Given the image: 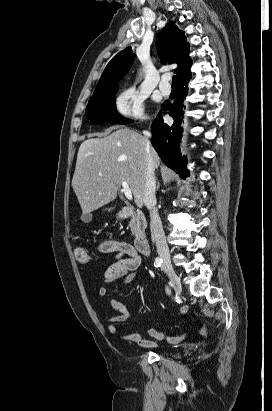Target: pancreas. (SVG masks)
<instances>
[{"instance_id":"pancreas-1","label":"pancreas","mask_w":272,"mask_h":411,"mask_svg":"<svg viewBox=\"0 0 272 411\" xmlns=\"http://www.w3.org/2000/svg\"><path fill=\"white\" fill-rule=\"evenodd\" d=\"M129 227L131 228L133 235H138L144 232L145 228L147 227L146 219L144 215L140 212L136 213L132 216Z\"/></svg>"}]
</instances>
